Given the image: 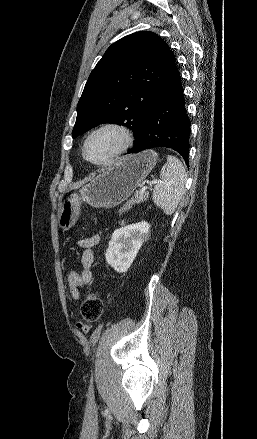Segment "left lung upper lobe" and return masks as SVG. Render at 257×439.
Returning a JSON list of instances; mask_svg holds the SVG:
<instances>
[{"mask_svg": "<svg viewBox=\"0 0 257 439\" xmlns=\"http://www.w3.org/2000/svg\"><path fill=\"white\" fill-rule=\"evenodd\" d=\"M175 68L174 54L153 32L133 33L113 43L86 82L72 137L101 123H116L133 130L135 146L144 115Z\"/></svg>", "mask_w": 257, "mask_h": 439, "instance_id": "5c2ea615", "label": "left lung upper lobe"}]
</instances>
